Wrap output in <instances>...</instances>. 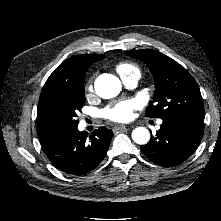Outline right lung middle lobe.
<instances>
[{"label":"right lung middle lobe","mask_w":221,"mask_h":221,"mask_svg":"<svg viewBox=\"0 0 221 221\" xmlns=\"http://www.w3.org/2000/svg\"><path fill=\"white\" fill-rule=\"evenodd\" d=\"M85 105L84 84H52L43 87L37 111L39 138L77 128V113Z\"/></svg>","instance_id":"1"}]
</instances>
